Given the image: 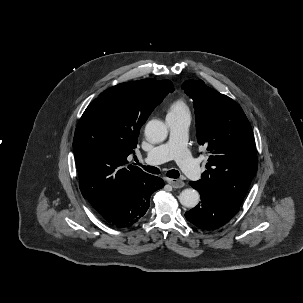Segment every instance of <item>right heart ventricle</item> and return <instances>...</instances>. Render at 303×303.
<instances>
[{"mask_svg": "<svg viewBox=\"0 0 303 303\" xmlns=\"http://www.w3.org/2000/svg\"><path fill=\"white\" fill-rule=\"evenodd\" d=\"M189 108L186 102L182 99L174 100L168 107L167 117H180L189 115Z\"/></svg>", "mask_w": 303, "mask_h": 303, "instance_id": "right-heart-ventricle-1", "label": "right heart ventricle"}]
</instances>
